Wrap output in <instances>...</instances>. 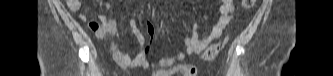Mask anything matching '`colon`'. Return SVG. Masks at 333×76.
I'll use <instances>...</instances> for the list:
<instances>
[{"mask_svg": "<svg viewBox=\"0 0 333 76\" xmlns=\"http://www.w3.org/2000/svg\"><path fill=\"white\" fill-rule=\"evenodd\" d=\"M255 4V0H243L242 1V7L244 9H251ZM227 42V39H224L220 42L215 43L214 45L208 47L203 55L202 58L204 60L210 61L213 60L217 57V55L219 54V52L222 50V48L225 46Z\"/></svg>", "mask_w": 333, "mask_h": 76, "instance_id": "1", "label": "colon"}]
</instances>
